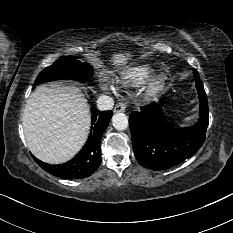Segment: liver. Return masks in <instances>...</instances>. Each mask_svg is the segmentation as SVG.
Masks as SVG:
<instances>
[{"label": "liver", "instance_id": "obj_1", "mask_svg": "<svg viewBox=\"0 0 233 233\" xmlns=\"http://www.w3.org/2000/svg\"><path fill=\"white\" fill-rule=\"evenodd\" d=\"M112 64L122 66L126 57L114 54ZM23 130L29 150L43 162L61 164L85 144L91 116L84 94L74 86H38L26 102Z\"/></svg>", "mask_w": 233, "mask_h": 233}]
</instances>
